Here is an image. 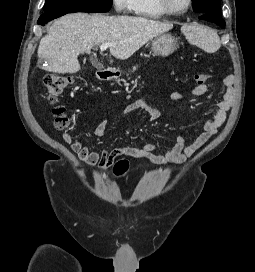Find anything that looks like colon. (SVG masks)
<instances>
[{"mask_svg": "<svg viewBox=\"0 0 255 272\" xmlns=\"http://www.w3.org/2000/svg\"><path fill=\"white\" fill-rule=\"evenodd\" d=\"M209 76L205 73H197L194 80L197 84H205ZM74 78L70 75L50 74L42 82L48 101L54 105L53 114L55 116L54 125L59 130H64L69 126V118L65 107L56 105L57 99L73 83ZM128 169V162L125 160L118 161L114 166V172L121 175Z\"/></svg>", "mask_w": 255, "mask_h": 272, "instance_id": "5ec220e1", "label": "colon"}]
</instances>
